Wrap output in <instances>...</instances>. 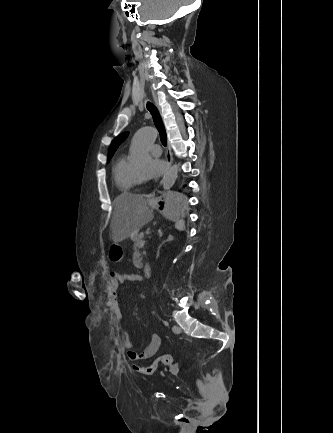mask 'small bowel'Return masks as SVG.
<instances>
[{"label": "small bowel", "mask_w": 333, "mask_h": 433, "mask_svg": "<svg viewBox=\"0 0 333 433\" xmlns=\"http://www.w3.org/2000/svg\"><path fill=\"white\" fill-rule=\"evenodd\" d=\"M141 278L138 275L135 274H121L116 271H112L110 273V286L112 289V294L114 297V307H115V314L118 319L122 318V311L120 308L119 303V295H120V286L124 282H140ZM122 346L126 350L127 358L132 361L133 363H139L143 360L152 358L154 355L157 354L161 343L162 338L158 334H153L151 336L150 341L148 342L147 346L144 348L143 351H136L134 350V344L129 336L128 333L122 334ZM137 365H134V367ZM178 370V367L175 366L174 368H170L169 371L171 373H176Z\"/></svg>", "instance_id": "c3829d8e"}]
</instances>
